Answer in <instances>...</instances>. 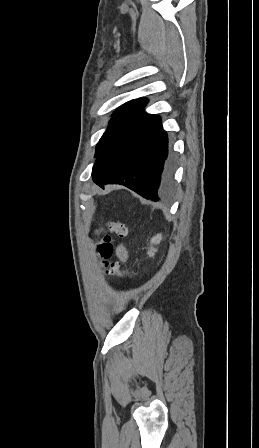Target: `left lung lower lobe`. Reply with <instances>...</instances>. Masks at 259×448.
I'll list each match as a JSON object with an SVG mask.
<instances>
[{
  "mask_svg": "<svg viewBox=\"0 0 259 448\" xmlns=\"http://www.w3.org/2000/svg\"><path fill=\"white\" fill-rule=\"evenodd\" d=\"M92 179L121 184L146 199L159 200L172 185L174 159L168 154V136L160 116L144 108L133 114L96 155Z\"/></svg>",
  "mask_w": 259,
  "mask_h": 448,
  "instance_id": "1",
  "label": "left lung lower lobe"
}]
</instances>
